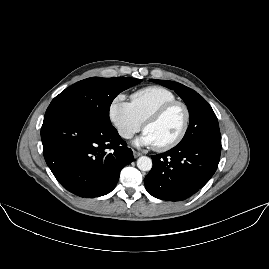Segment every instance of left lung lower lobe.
Segmentation results:
<instances>
[{
	"label": "left lung lower lobe",
	"instance_id": "left-lung-lower-lobe-1",
	"mask_svg": "<svg viewBox=\"0 0 269 269\" xmlns=\"http://www.w3.org/2000/svg\"><path fill=\"white\" fill-rule=\"evenodd\" d=\"M220 153L221 142L200 140L153 155V167L144 179L146 190L159 199L185 200L213 176Z\"/></svg>",
	"mask_w": 269,
	"mask_h": 269
}]
</instances>
